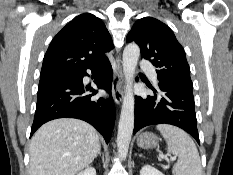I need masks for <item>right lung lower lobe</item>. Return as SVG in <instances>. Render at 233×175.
Returning <instances> with one entry per match:
<instances>
[{
	"label": "right lung lower lobe",
	"mask_w": 233,
	"mask_h": 175,
	"mask_svg": "<svg viewBox=\"0 0 233 175\" xmlns=\"http://www.w3.org/2000/svg\"><path fill=\"white\" fill-rule=\"evenodd\" d=\"M91 69L95 76V84L106 90L107 99H92L98 91L90 88L93 94L84 95L89 88H84L83 77L88 76L86 70ZM112 67L105 58L101 62L79 70L68 76L53 79L39 84L37 106L31 135L44 123L57 118H77L94 126L104 137L106 143L111 138L115 123L116 110L111 95Z\"/></svg>",
	"instance_id": "98d812e1"
}]
</instances>
